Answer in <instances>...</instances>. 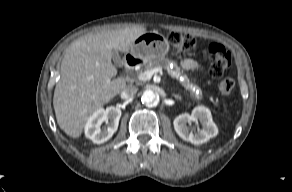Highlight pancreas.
Wrapping results in <instances>:
<instances>
[{"label":"pancreas","instance_id":"pancreas-1","mask_svg":"<svg viewBox=\"0 0 292 192\" xmlns=\"http://www.w3.org/2000/svg\"><path fill=\"white\" fill-rule=\"evenodd\" d=\"M171 64H172V67H170ZM157 67L166 69L168 74L172 78L177 79L185 89L190 91V94L192 97H195L198 99L202 95L201 89L197 85L192 84L190 82L187 75L183 73V71L181 70L180 67H178L176 62H173L167 58H161V59L151 61L147 65H144L145 70H151Z\"/></svg>","mask_w":292,"mask_h":192}]
</instances>
